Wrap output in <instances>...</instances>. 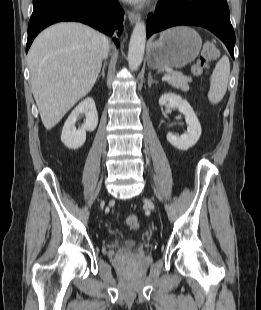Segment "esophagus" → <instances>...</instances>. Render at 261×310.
<instances>
[{
  "label": "esophagus",
  "instance_id": "esophagus-1",
  "mask_svg": "<svg viewBox=\"0 0 261 310\" xmlns=\"http://www.w3.org/2000/svg\"><path fill=\"white\" fill-rule=\"evenodd\" d=\"M128 19L132 25H134L140 19V15L138 13L130 11L128 13Z\"/></svg>",
  "mask_w": 261,
  "mask_h": 310
}]
</instances>
